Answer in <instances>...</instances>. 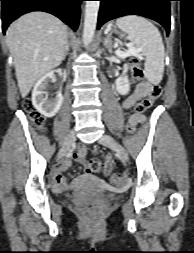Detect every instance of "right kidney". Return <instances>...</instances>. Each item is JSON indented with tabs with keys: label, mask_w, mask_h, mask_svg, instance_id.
<instances>
[{
	"label": "right kidney",
	"mask_w": 194,
	"mask_h": 253,
	"mask_svg": "<svg viewBox=\"0 0 194 253\" xmlns=\"http://www.w3.org/2000/svg\"><path fill=\"white\" fill-rule=\"evenodd\" d=\"M54 71L47 73L42 78L38 80L35 84L33 92H32V103L34 107L37 109L39 113L44 115L45 117L51 118L56 115L59 111L62 102L63 96L62 91L59 90L56 93L54 98H48V93L46 92V88L50 79L53 76ZM60 75L63 77V81L66 80V71L61 72Z\"/></svg>",
	"instance_id": "1"
}]
</instances>
